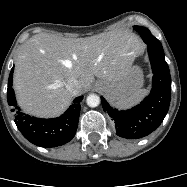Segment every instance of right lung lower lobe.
I'll list each match as a JSON object with an SVG mask.
<instances>
[{
  "mask_svg": "<svg viewBox=\"0 0 187 187\" xmlns=\"http://www.w3.org/2000/svg\"><path fill=\"white\" fill-rule=\"evenodd\" d=\"M14 67L11 69L7 101L15 113V124L22 135L31 143L40 147H56L69 142L76 133L79 115L80 102L83 96L74 99L68 110L58 118L40 119L27 115L17 106L14 90L12 88Z\"/></svg>",
  "mask_w": 187,
  "mask_h": 187,
  "instance_id": "98d812e1",
  "label": "right lung lower lobe"
}]
</instances>
